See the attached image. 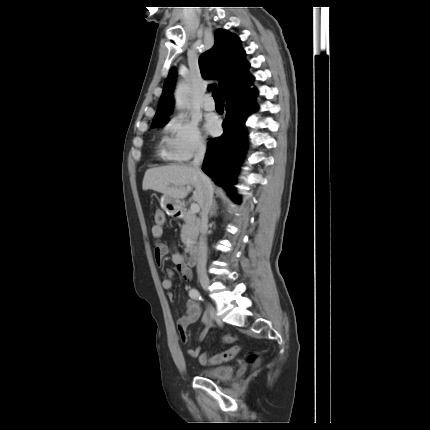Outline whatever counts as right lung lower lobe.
Returning <instances> with one entry per match:
<instances>
[{"instance_id":"obj_1","label":"right lung lower lobe","mask_w":430,"mask_h":430,"mask_svg":"<svg viewBox=\"0 0 430 430\" xmlns=\"http://www.w3.org/2000/svg\"><path fill=\"white\" fill-rule=\"evenodd\" d=\"M253 77L250 75L239 85L230 88L225 95L226 119L224 133L211 139L204 159L203 171L219 186L223 187L235 203L241 200L232 185L246 150L245 120L258 106L255 103L256 89H249Z\"/></svg>"}]
</instances>
